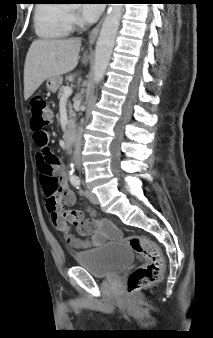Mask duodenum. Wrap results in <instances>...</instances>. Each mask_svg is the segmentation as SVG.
<instances>
[{
	"mask_svg": "<svg viewBox=\"0 0 213 338\" xmlns=\"http://www.w3.org/2000/svg\"><path fill=\"white\" fill-rule=\"evenodd\" d=\"M74 131H75L74 125L69 124L64 137V143L68 149H70L73 145Z\"/></svg>",
	"mask_w": 213,
	"mask_h": 338,
	"instance_id": "duodenum-1",
	"label": "duodenum"
}]
</instances>
